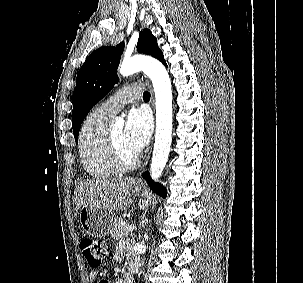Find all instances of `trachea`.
<instances>
[{
    "instance_id": "trachea-1",
    "label": "trachea",
    "mask_w": 303,
    "mask_h": 283,
    "mask_svg": "<svg viewBox=\"0 0 303 283\" xmlns=\"http://www.w3.org/2000/svg\"><path fill=\"white\" fill-rule=\"evenodd\" d=\"M143 99H144V100H149V99H150V93H149L148 91H145V92L143 93Z\"/></svg>"
}]
</instances>
